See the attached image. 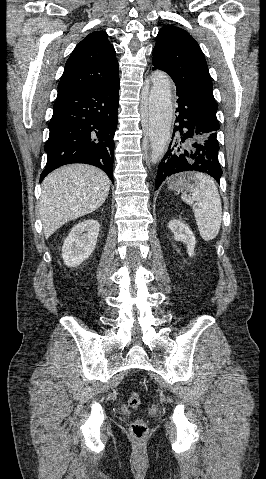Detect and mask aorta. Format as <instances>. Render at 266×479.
Instances as JSON below:
<instances>
[{
  "mask_svg": "<svg viewBox=\"0 0 266 479\" xmlns=\"http://www.w3.org/2000/svg\"><path fill=\"white\" fill-rule=\"evenodd\" d=\"M151 88L142 97V117L147 123L151 145V161L158 162L164 155L170 138L173 115L171 81L167 74L155 71L150 76Z\"/></svg>",
  "mask_w": 266,
  "mask_h": 479,
  "instance_id": "obj_1",
  "label": "aorta"
}]
</instances>
